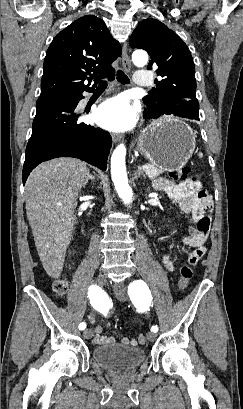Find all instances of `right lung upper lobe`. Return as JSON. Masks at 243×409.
Segmentation results:
<instances>
[{
  "mask_svg": "<svg viewBox=\"0 0 243 409\" xmlns=\"http://www.w3.org/2000/svg\"><path fill=\"white\" fill-rule=\"evenodd\" d=\"M121 52L103 20L94 15L77 19L55 36L47 50L38 99L91 90L84 81L93 78L97 83L111 74V63Z\"/></svg>",
  "mask_w": 243,
  "mask_h": 409,
  "instance_id": "obj_1",
  "label": "right lung upper lobe"
}]
</instances>
